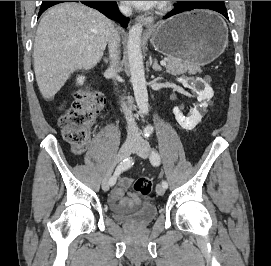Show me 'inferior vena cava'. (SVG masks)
<instances>
[{"instance_id":"obj_1","label":"inferior vena cava","mask_w":271,"mask_h":266,"mask_svg":"<svg viewBox=\"0 0 271 266\" xmlns=\"http://www.w3.org/2000/svg\"><path fill=\"white\" fill-rule=\"evenodd\" d=\"M120 10L123 14L126 16L132 15V10L129 6L122 5L120 6ZM119 41L120 37L116 31L112 34L108 48H109V55H110V67L109 72L112 74L113 77L117 75L118 72V66H119ZM123 111L127 120V138L129 141H140L141 140V134L139 132V129L136 125L135 119L132 115V110L129 108L126 103H122Z\"/></svg>"}]
</instances>
